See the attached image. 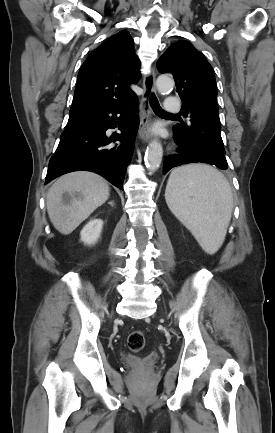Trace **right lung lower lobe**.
I'll return each instance as SVG.
<instances>
[{"instance_id":"right-lung-lower-lobe-1","label":"right lung lower lobe","mask_w":275,"mask_h":433,"mask_svg":"<svg viewBox=\"0 0 275 433\" xmlns=\"http://www.w3.org/2000/svg\"><path fill=\"white\" fill-rule=\"evenodd\" d=\"M137 105L135 97L124 103L99 106L69 118L58 148L50 159L46 183L69 172L87 170L100 174L122 189L139 127L138 117L127 120L126 116ZM118 119L122 133L107 135V129L117 127ZM115 141L121 143L114 144Z\"/></svg>"}]
</instances>
